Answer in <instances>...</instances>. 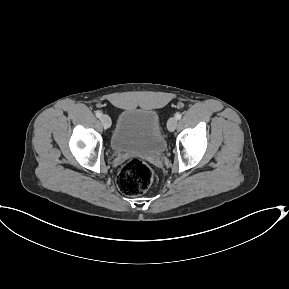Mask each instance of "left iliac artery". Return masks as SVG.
<instances>
[{
	"label": "left iliac artery",
	"mask_w": 289,
	"mask_h": 289,
	"mask_svg": "<svg viewBox=\"0 0 289 289\" xmlns=\"http://www.w3.org/2000/svg\"><path fill=\"white\" fill-rule=\"evenodd\" d=\"M181 117H182V113H180V112L176 113L175 118L177 120L181 119Z\"/></svg>",
	"instance_id": "obj_1"
}]
</instances>
